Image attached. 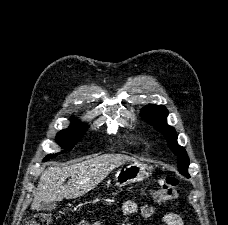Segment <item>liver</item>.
Returning <instances> with one entry per match:
<instances>
[{
	"instance_id": "obj_1",
	"label": "liver",
	"mask_w": 228,
	"mask_h": 225,
	"mask_svg": "<svg viewBox=\"0 0 228 225\" xmlns=\"http://www.w3.org/2000/svg\"><path fill=\"white\" fill-rule=\"evenodd\" d=\"M134 161L125 155H100L82 163H74L67 167L51 165L43 171L31 209L39 211L41 201H62L77 199L97 187L113 169ZM67 177H71L64 185Z\"/></svg>"
}]
</instances>
